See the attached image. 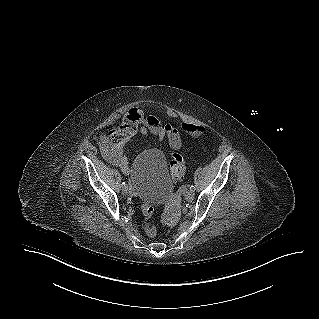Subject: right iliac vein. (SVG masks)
I'll return each instance as SVG.
<instances>
[{
    "instance_id": "1",
    "label": "right iliac vein",
    "mask_w": 319,
    "mask_h": 319,
    "mask_svg": "<svg viewBox=\"0 0 319 319\" xmlns=\"http://www.w3.org/2000/svg\"><path fill=\"white\" fill-rule=\"evenodd\" d=\"M122 192H123V194H125V195H127V194L129 193V188H128L127 185H125V186L122 187Z\"/></svg>"
}]
</instances>
